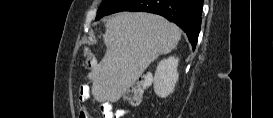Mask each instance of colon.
<instances>
[{
	"label": "colon",
	"instance_id": "colon-1",
	"mask_svg": "<svg viewBox=\"0 0 273 118\" xmlns=\"http://www.w3.org/2000/svg\"><path fill=\"white\" fill-rule=\"evenodd\" d=\"M85 59H86V67L88 69L93 68L95 65V58L88 49L85 50ZM146 85H147V82L145 81H141V80L137 81L125 93V96H124L125 100L129 104H133V105L139 103L142 97L143 89L146 87Z\"/></svg>",
	"mask_w": 273,
	"mask_h": 118
}]
</instances>
